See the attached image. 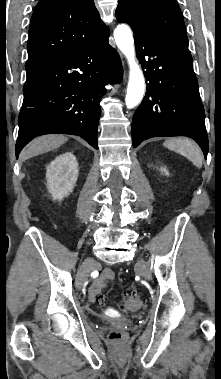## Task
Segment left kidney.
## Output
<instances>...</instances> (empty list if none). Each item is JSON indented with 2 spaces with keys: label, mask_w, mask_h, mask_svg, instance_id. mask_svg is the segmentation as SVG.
I'll return each mask as SVG.
<instances>
[{
  "label": "left kidney",
  "mask_w": 221,
  "mask_h": 379,
  "mask_svg": "<svg viewBox=\"0 0 221 379\" xmlns=\"http://www.w3.org/2000/svg\"><path fill=\"white\" fill-rule=\"evenodd\" d=\"M161 172H164L165 175H169L168 171L166 170V168H161Z\"/></svg>",
  "instance_id": "5707ae66"
}]
</instances>
